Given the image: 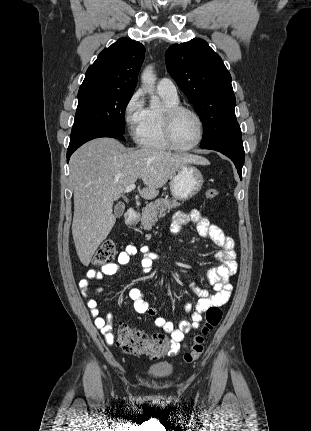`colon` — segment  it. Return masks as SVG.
I'll list each match as a JSON object with an SVG mask.
<instances>
[{
	"label": "colon",
	"mask_w": 311,
	"mask_h": 431,
	"mask_svg": "<svg viewBox=\"0 0 311 431\" xmlns=\"http://www.w3.org/2000/svg\"><path fill=\"white\" fill-rule=\"evenodd\" d=\"M218 195L219 192L213 188H209L205 192V197L208 200H213ZM115 257V244L112 240L108 239L103 241L99 246L93 262L95 265L104 266L111 264ZM222 317L223 313L219 307L212 306L207 309L205 322L200 332L193 337L190 350L184 354V361L186 363H194L200 358L204 351L205 337L220 324ZM117 341L124 352L133 355H146L150 358L173 355L178 348L175 342L166 337L161 335L149 337L126 323L119 324Z\"/></svg>",
	"instance_id": "colon-1"
}]
</instances>
